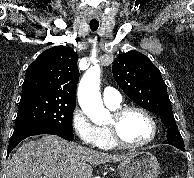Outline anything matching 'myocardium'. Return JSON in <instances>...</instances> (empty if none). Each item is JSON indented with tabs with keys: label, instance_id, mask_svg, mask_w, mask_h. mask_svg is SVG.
I'll return each instance as SVG.
<instances>
[{
	"label": "myocardium",
	"instance_id": "1",
	"mask_svg": "<svg viewBox=\"0 0 194 178\" xmlns=\"http://www.w3.org/2000/svg\"><path fill=\"white\" fill-rule=\"evenodd\" d=\"M131 111H137L142 113L147 117L149 122L152 126V134L150 138L142 143H131L128 142L121 134V123L124 117ZM111 122L108 123L107 128L111 134L112 140L117 146L125 147V148H141L145 147L149 144H151L158 135V125L154 118V116L151 114L150 111L147 109L137 106V105H128L119 107L117 110H114L111 115Z\"/></svg>",
	"mask_w": 194,
	"mask_h": 178
}]
</instances>
